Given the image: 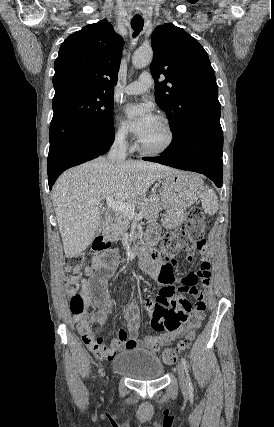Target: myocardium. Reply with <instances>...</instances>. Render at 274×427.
Wrapping results in <instances>:
<instances>
[{
  "label": "myocardium",
  "instance_id": "f54148a6",
  "mask_svg": "<svg viewBox=\"0 0 274 427\" xmlns=\"http://www.w3.org/2000/svg\"><path fill=\"white\" fill-rule=\"evenodd\" d=\"M156 119H158L166 128L168 132V141L162 148L158 150H151L142 146L140 141L138 140L136 145L137 150L147 157H160L165 155L171 150V148L176 142V131L172 122L166 116L163 115H157Z\"/></svg>",
  "mask_w": 274,
  "mask_h": 427
}]
</instances>
